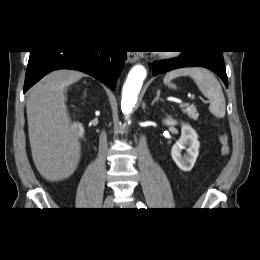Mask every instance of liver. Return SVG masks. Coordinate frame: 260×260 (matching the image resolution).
I'll return each instance as SVG.
<instances>
[{
  "mask_svg": "<svg viewBox=\"0 0 260 260\" xmlns=\"http://www.w3.org/2000/svg\"><path fill=\"white\" fill-rule=\"evenodd\" d=\"M83 76L75 70L53 71L29 93L26 111L32 158L49 181L71 176L80 160V144L70 129L64 90Z\"/></svg>",
  "mask_w": 260,
  "mask_h": 260,
  "instance_id": "1",
  "label": "liver"
}]
</instances>
